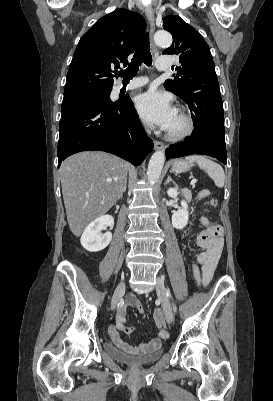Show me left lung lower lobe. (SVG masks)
Returning a JSON list of instances; mask_svg holds the SVG:
<instances>
[{
    "mask_svg": "<svg viewBox=\"0 0 273 401\" xmlns=\"http://www.w3.org/2000/svg\"><path fill=\"white\" fill-rule=\"evenodd\" d=\"M181 98L189 105L195 129L185 141L169 146L167 159L197 153L215 157L226 164L221 95L193 92Z\"/></svg>",
    "mask_w": 273,
    "mask_h": 401,
    "instance_id": "left-lung-lower-lobe-1",
    "label": "left lung lower lobe"
}]
</instances>
